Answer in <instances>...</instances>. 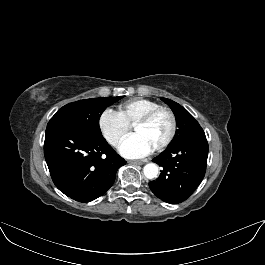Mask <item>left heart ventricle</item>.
Here are the masks:
<instances>
[{
    "label": "left heart ventricle",
    "mask_w": 265,
    "mask_h": 265,
    "mask_svg": "<svg viewBox=\"0 0 265 265\" xmlns=\"http://www.w3.org/2000/svg\"><path fill=\"white\" fill-rule=\"evenodd\" d=\"M169 130L170 118L166 113H160L148 123L133 127V131L141 135L150 144L152 149L156 148L164 141Z\"/></svg>",
    "instance_id": "obj_1"
}]
</instances>
